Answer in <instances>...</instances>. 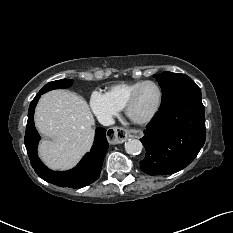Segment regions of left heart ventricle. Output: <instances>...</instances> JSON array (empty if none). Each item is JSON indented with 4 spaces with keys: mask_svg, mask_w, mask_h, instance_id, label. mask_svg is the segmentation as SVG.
<instances>
[{
    "mask_svg": "<svg viewBox=\"0 0 233 233\" xmlns=\"http://www.w3.org/2000/svg\"><path fill=\"white\" fill-rule=\"evenodd\" d=\"M158 100V90L154 85H146L139 93L137 102L133 108V114L143 117L150 113Z\"/></svg>",
    "mask_w": 233,
    "mask_h": 233,
    "instance_id": "obj_1",
    "label": "left heart ventricle"
}]
</instances>
